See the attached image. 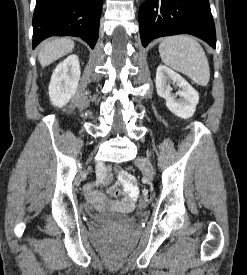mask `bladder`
Segmentation results:
<instances>
[{"instance_id":"bladder-1","label":"bladder","mask_w":247,"mask_h":275,"mask_svg":"<svg viewBox=\"0 0 247 275\" xmlns=\"http://www.w3.org/2000/svg\"><path fill=\"white\" fill-rule=\"evenodd\" d=\"M94 220L101 225L114 226L128 224L133 221V217L128 215L103 212L94 213Z\"/></svg>"}]
</instances>
